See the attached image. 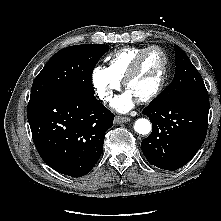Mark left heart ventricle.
Returning a JSON list of instances; mask_svg holds the SVG:
<instances>
[{
  "label": "left heart ventricle",
  "instance_id": "1",
  "mask_svg": "<svg viewBox=\"0 0 221 221\" xmlns=\"http://www.w3.org/2000/svg\"><path fill=\"white\" fill-rule=\"evenodd\" d=\"M163 66V57L160 52H149L138 71L127 86L135 99H139L150 93L157 85Z\"/></svg>",
  "mask_w": 221,
  "mask_h": 221
}]
</instances>
